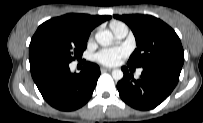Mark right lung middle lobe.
Masks as SVG:
<instances>
[{
	"label": "right lung middle lobe",
	"mask_w": 203,
	"mask_h": 123,
	"mask_svg": "<svg viewBox=\"0 0 203 123\" xmlns=\"http://www.w3.org/2000/svg\"><path fill=\"white\" fill-rule=\"evenodd\" d=\"M89 34L75 23L52 18L41 24L29 45V60L55 58L71 62L82 55L87 47Z\"/></svg>",
	"instance_id": "right-lung-middle-lobe-1"
}]
</instances>
